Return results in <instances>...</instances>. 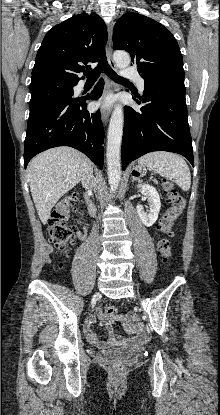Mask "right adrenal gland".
Segmentation results:
<instances>
[{"mask_svg":"<svg viewBox=\"0 0 220 415\" xmlns=\"http://www.w3.org/2000/svg\"><path fill=\"white\" fill-rule=\"evenodd\" d=\"M90 176L94 179L93 171H91Z\"/></svg>","mask_w":220,"mask_h":415,"instance_id":"1","label":"right adrenal gland"}]
</instances>
